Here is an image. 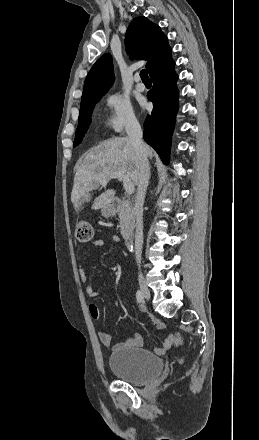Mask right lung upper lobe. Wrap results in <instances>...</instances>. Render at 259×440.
<instances>
[{
	"mask_svg": "<svg viewBox=\"0 0 259 440\" xmlns=\"http://www.w3.org/2000/svg\"><path fill=\"white\" fill-rule=\"evenodd\" d=\"M127 52L147 60L146 68L151 74L171 56L168 39L160 27L146 17H136L130 23L126 35ZM114 81L113 61L109 53L101 56L89 71L83 88L81 103L101 98Z\"/></svg>",
	"mask_w": 259,
	"mask_h": 440,
	"instance_id": "right-lung-upper-lobe-1",
	"label": "right lung upper lobe"
}]
</instances>
